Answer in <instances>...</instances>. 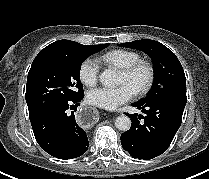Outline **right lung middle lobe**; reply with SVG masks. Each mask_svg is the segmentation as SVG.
Segmentation results:
<instances>
[{
    "label": "right lung middle lobe",
    "mask_w": 209,
    "mask_h": 179,
    "mask_svg": "<svg viewBox=\"0 0 209 179\" xmlns=\"http://www.w3.org/2000/svg\"><path fill=\"white\" fill-rule=\"evenodd\" d=\"M109 44L85 45L71 50L40 51L28 73L26 102L30 120L47 108L84 95L80 68L90 55Z\"/></svg>",
    "instance_id": "obj_1"
}]
</instances>
